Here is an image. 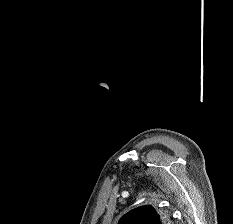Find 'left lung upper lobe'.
<instances>
[{
  "mask_svg": "<svg viewBox=\"0 0 233 224\" xmlns=\"http://www.w3.org/2000/svg\"><path fill=\"white\" fill-rule=\"evenodd\" d=\"M167 214L156 210L150 205L141 206L129 211L118 224H168Z\"/></svg>",
  "mask_w": 233,
  "mask_h": 224,
  "instance_id": "left-lung-upper-lobe-1",
  "label": "left lung upper lobe"
}]
</instances>
